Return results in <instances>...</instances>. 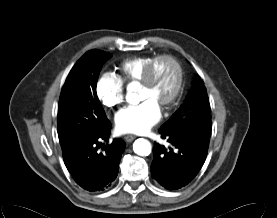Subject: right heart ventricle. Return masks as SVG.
Returning <instances> with one entry per match:
<instances>
[{
	"mask_svg": "<svg viewBox=\"0 0 277 218\" xmlns=\"http://www.w3.org/2000/svg\"><path fill=\"white\" fill-rule=\"evenodd\" d=\"M153 56H139L127 59L121 65L123 77L129 83L141 82Z\"/></svg>",
	"mask_w": 277,
	"mask_h": 218,
	"instance_id": "obj_1",
	"label": "right heart ventricle"
}]
</instances>
